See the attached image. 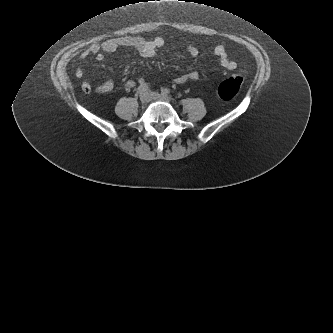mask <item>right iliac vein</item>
<instances>
[{"mask_svg":"<svg viewBox=\"0 0 333 333\" xmlns=\"http://www.w3.org/2000/svg\"><path fill=\"white\" fill-rule=\"evenodd\" d=\"M151 100V95L148 92L142 93L140 96V101L144 104L150 102Z\"/></svg>","mask_w":333,"mask_h":333,"instance_id":"right-iliac-vein-1","label":"right iliac vein"}]
</instances>
